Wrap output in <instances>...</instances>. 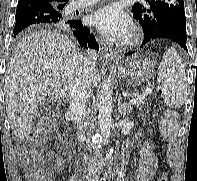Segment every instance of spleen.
Returning <instances> with one entry per match:
<instances>
[{"mask_svg": "<svg viewBox=\"0 0 197 181\" xmlns=\"http://www.w3.org/2000/svg\"><path fill=\"white\" fill-rule=\"evenodd\" d=\"M157 81L161 84L165 104L171 108H181L187 95L186 74L182 58L174 48L164 53L158 67Z\"/></svg>", "mask_w": 197, "mask_h": 181, "instance_id": "obj_1", "label": "spleen"}]
</instances>
